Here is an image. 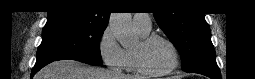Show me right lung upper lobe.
I'll return each instance as SVG.
<instances>
[{
  "mask_svg": "<svg viewBox=\"0 0 255 79\" xmlns=\"http://www.w3.org/2000/svg\"><path fill=\"white\" fill-rule=\"evenodd\" d=\"M47 22L66 21L77 24L107 27L110 12L98 0H59L53 2Z\"/></svg>",
  "mask_w": 255,
  "mask_h": 79,
  "instance_id": "obj_1",
  "label": "right lung upper lobe"
}]
</instances>
